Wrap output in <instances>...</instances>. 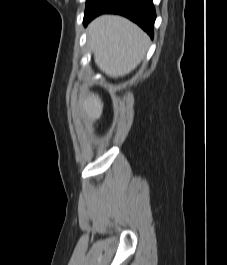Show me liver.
<instances>
[{
  "mask_svg": "<svg viewBox=\"0 0 227 265\" xmlns=\"http://www.w3.org/2000/svg\"><path fill=\"white\" fill-rule=\"evenodd\" d=\"M88 41L99 69L112 78L123 77L144 59L150 39L136 24L117 15H102L88 26ZM83 112L99 118L103 103L98 94L80 98Z\"/></svg>",
  "mask_w": 227,
  "mask_h": 265,
  "instance_id": "1",
  "label": "liver"
}]
</instances>
